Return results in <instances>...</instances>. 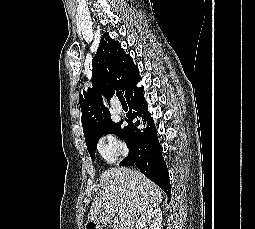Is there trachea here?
<instances>
[{"label": "trachea", "instance_id": "obj_1", "mask_svg": "<svg viewBox=\"0 0 255 229\" xmlns=\"http://www.w3.org/2000/svg\"><path fill=\"white\" fill-rule=\"evenodd\" d=\"M116 95H117L118 99H119L121 102H124V101H125L124 96H123V93H122L121 91H118V92L116 93Z\"/></svg>", "mask_w": 255, "mask_h": 229}]
</instances>
